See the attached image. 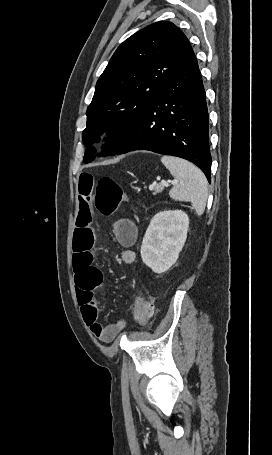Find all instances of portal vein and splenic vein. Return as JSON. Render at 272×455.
<instances>
[{"label":"portal vein and splenic vein","mask_w":272,"mask_h":455,"mask_svg":"<svg viewBox=\"0 0 272 455\" xmlns=\"http://www.w3.org/2000/svg\"><path fill=\"white\" fill-rule=\"evenodd\" d=\"M170 183H171L172 185L177 184L176 181H172V182H170ZM161 185H162L163 187H168L170 184H169L167 181L162 180V181H161Z\"/></svg>","instance_id":"18ae733b"}]
</instances>
